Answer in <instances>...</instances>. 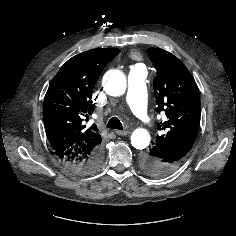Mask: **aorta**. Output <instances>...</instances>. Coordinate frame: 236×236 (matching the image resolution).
Segmentation results:
<instances>
[{
	"instance_id": "1",
	"label": "aorta",
	"mask_w": 236,
	"mask_h": 236,
	"mask_svg": "<svg viewBox=\"0 0 236 236\" xmlns=\"http://www.w3.org/2000/svg\"><path fill=\"white\" fill-rule=\"evenodd\" d=\"M104 90L111 96H121L127 88V80L123 72L117 69L109 70L103 77ZM150 134L144 128H138L131 135V144L134 148L142 150L150 143Z\"/></svg>"
}]
</instances>
